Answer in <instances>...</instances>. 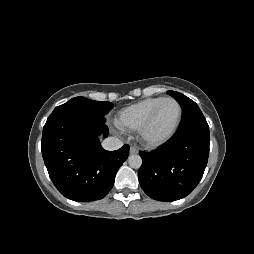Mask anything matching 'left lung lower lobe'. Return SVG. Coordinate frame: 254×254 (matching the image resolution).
<instances>
[{"instance_id":"1","label":"left lung lower lobe","mask_w":254,"mask_h":254,"mask_svg":"<svg viewBox=\"0 0 254 254\" xmlns=\"http://www.w3.org/2000/svg\"><path fill=\"white\" fill-rule=\"evenodd\" d=\"M209 141L208 125H191L178 129L157 151L139 152L138 177L144 192L159 201H175L191 193L206 168Z\"/></svg>"}]
</instances>
